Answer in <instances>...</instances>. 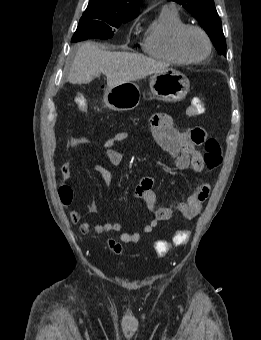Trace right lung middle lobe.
Listing matches in <instances>:
<instances>
[{
  "mask_svg": "<svg viewBox=\"0 0 261 340\" xmlns=\"http://www.w3.org/2000/svg\"><path fill=\"white\" fill-rule=\"evenodd\" d=\"M135 17L111 14L100 9L87 8L81 17L72 42L90 38L108 39L114 35V27L119 28Z\"/></svg>",
  "mask_w": 261,
  "mask_h": 340,
  "instance_id": "dd1d6c3e",
  "label": "right lung middle lobe"
}]
</instances>
